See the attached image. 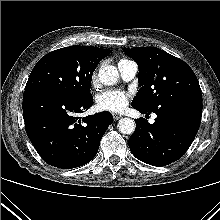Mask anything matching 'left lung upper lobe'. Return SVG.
Returning a JSON list of instances; mask_svg holds the SVG:
<instances>
[{"instance_id": "obj_1", "label": "left lung upper lobe", "mask_w": 220, "mask_h": 220, "mask_svg": "<svg viewBox=\"0 0 220 220\" xmlns=\"http://www.w3.org/2000/svg\"><path fill=\"white\" fill-rule=\"evenodd\" d=\"M139 67L142 86L133 107L152 111L166 101L189 93H201L193 70L183 60L154 47L123 48Z\"/></svg>"}]
</instances>
